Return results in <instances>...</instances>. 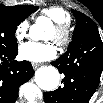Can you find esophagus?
Wrapping results in <instances>:
<instances>
[{"label": "esophagus", "instance_id": "34e87169", "mask_svg": "<svg viewBox=\"0 0 103 103\" xmlns=\"http://www.w3.org/2000/svg\"><path fill=\"white\" fill-rule=\"evenodd\" d=\"M32 66H33V68L34 69H37L38 67H40L41 66V64L40 63H32Z\"/></svg>", "mask_w": 103, "mask_h": 103}]
</instances>
